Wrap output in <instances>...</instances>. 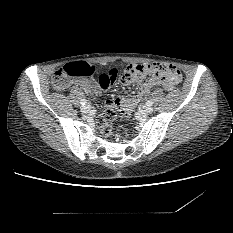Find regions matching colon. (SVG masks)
I'll list each match as a JSON object with an SVG mask.
<instances>
[{
  "label": "colon",
  "instance_id": "1",
  "mask_svg": "<svg viewBox=\"0 0 233 233\" xmlns=\"http://www.w3.org/2000/svg\"><path fill=\"white\" fill-rule=\"evenodd\" d=\"M174 72L175 67L165 64H129L124 72L123 77L125 80L137 78L145 79L154 77L158 71ZM98 71L94 64L87 61H78L62 67H59L52 77V87L56 91L66 89L74 78H88L96 74ZM131 109L125 108L123 115H127ZM117 117L112 109H107L99 115L97 124L102 135L109 136L112 133L111 122Z\"/></svg>",
  "mask_w": 233,
  "mask_h": 233
}]
</instances>
